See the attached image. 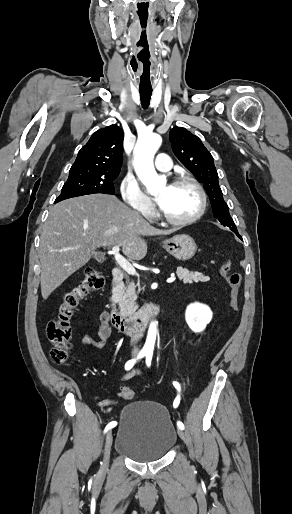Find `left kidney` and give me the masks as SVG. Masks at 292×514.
I'll return each mask as SVG.
<instances>
[{
	"label": "left kidney",
	"mask_w": 292,
	"mask_h": 514,
	"mask_svg": "<svg viewBox=\"0 0 292 514\" xmlns=\"http://www.w3.org/2000/svg\"><path fill=\"white\" fill-rule=\"evenodd\" d=\"M213 312L205 304H189L185 312V320L193 332H203L207 324L211 322Z\"/></svg>",
	"instance_id": "obj_1"
}]
</instances>
